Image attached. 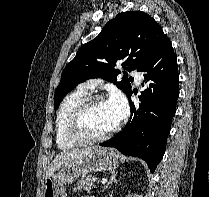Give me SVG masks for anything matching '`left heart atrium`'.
<instances>
[{
    "mask_svg": "<svg viewBox=\"0 0 209 197\" xmlns=\"http://www.w3.org/2000/svg\"><path fill=\"white\" fill-rule=\"evenodd\" d=\"M104 107L109 114L113 126L118 125L127 114L126 101L119 93H113L104 102Z\"/></svg>",
    "mask_w": 209,
    "mask_h": 197,
    "instance_id": "39dd6f15",
    "label": "left heart atrium"
}]
</instances>
